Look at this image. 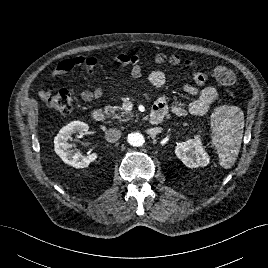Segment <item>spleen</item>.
<instances>
[{"label":"spleen","instance_id":"obj_1","mask_svg":"<svg viewBox=\"0 0 268 268\" xmlns=\"http://www.w3.org/2000/svg\"><path fill=\"white\" fill-rule=\"evenodd\" d=\"M212 146L220 165L229 169L235 163L243 138L244 113L236 106L222 105L211 115Z\"/></svg>","mask_w":268,"mask_h":268}]
</instances>
